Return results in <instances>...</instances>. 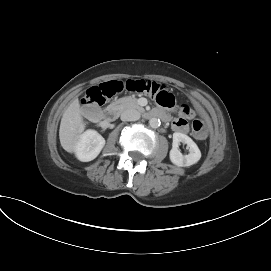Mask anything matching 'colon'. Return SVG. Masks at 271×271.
I'll use <instances>...</instances> for the list:
<instances>
[{"label": "colon", "instance_id": "5ec220e1", "mask_svg": "<svg viewBox=\"0 0 271 271\" xmlns=\"http://www.w3.org/2000/svg\"><path fill=\"white\" fill-rule=\"evenodd\" d=\"M136 92L146 94L153 97L156 102L163 107L174 106V97L171 93L166 91L160 84L154 81L145 79H128L126 81L113 80L102 83L98 86H93L87 90L83 96V104L97 108L103 105L107 98L122 92ZM183 114L187 116L192 115V110L189 106L183 105L181 107ZM192 133L197 140H203L207 136V129L204 122L200 119H195L192 123Z\"/></svg>", "mask_w": 271, "mask_h": 271}]
</instances>
